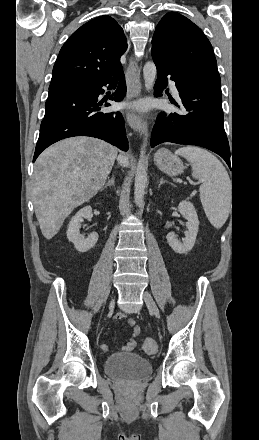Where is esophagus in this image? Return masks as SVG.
<instances>
[{
  "label": "esophagus",
  "instance_id": "obj_1",
  "mask_svg": "<svg viewBox=\"0 0 259 440\" xmlns=\"http://www.w3.org/2000/svg\"><path fill=\"white\" fill-rule=\"evenodd\" d=\"M130 78L128 80L127 96L126 99L129 102L134 98H138L141 95V77H140V67L138 62L132 56L129 60ZM126 117L129 126L136 132L143 136L144 140L147 141V132L142 120L141 115L135 113L134 111L127 110Z\"/></svg>",
  "mask_w": 259,
  "mask_h": 440
}]
</instances>
